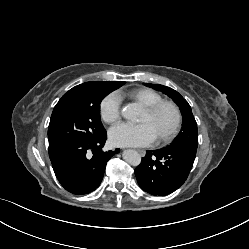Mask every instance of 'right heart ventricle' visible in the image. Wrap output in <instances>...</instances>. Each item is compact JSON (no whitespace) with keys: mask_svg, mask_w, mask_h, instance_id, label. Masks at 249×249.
I'll use <instances>...</instances> for the list:
<instances>
[{"mask_svg":"<svg viewBox=\"0 0 249 249\" xmlns=\"http://www.w3.org/2000/svg\"><path fill=\"white\" fill-rule=\"evenodd\" d=\"M126 95L142 106L152 105L163 100L158 92L149 88L133 89L128 91Z\"/></svg>","mask_w":249,"mask_h":249,"instance_id":"right-heart-ventricle-1","label":"right heart ventricle"}]
</instances>
